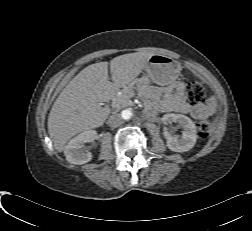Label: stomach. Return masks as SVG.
I'll use <instances>...</instances> for the list:
<instances>
[{"label": "stomach", "instance_id": "stomach-1", "mask_svg": "<svg viewBox=\"0 0 252 231\" xmlns=\"http://www.w3.org/2000/svg\"><path fill=\"white\" fill-rule=\"evenodd\" d=\"M145 69L148 73V78H142L138 82V89L145 83H149V81L160 86H168V88L175 86L179 68L171 58L160 54H153L149 58Z\"/></svg>", "mask_w": 252, "mask_h": 231}]
</instances>
